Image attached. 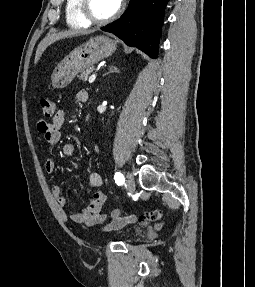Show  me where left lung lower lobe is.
Segmentation results:
<instances>
[{
  "instance_id": "obj_1",
  "label": "left lung lower lobe",
  "mask_w": 255,
  "mask_h": 287,
  "mask_svg": "<svg viewBox=\"0 0 255 287\" xmlns=\"http://www.w3.org/2000/svg\"><path fill=\"white\" fill-rule=\"evenodd\" d=\"M168 1L130 0L124 15L101 29L113 33L128 46L137 47L156 58Z\"/></svg>"
}]
</instances>
